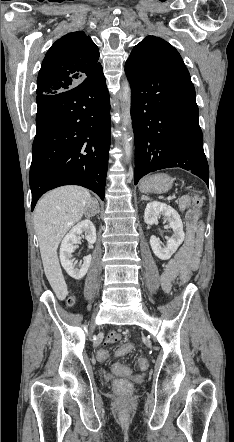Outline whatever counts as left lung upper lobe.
I'll use <instances>...</instances> for the list:
<instances>
[{"label":"left lung upper lobe","mask_w":234,"mask_h":442,"mask_svg":"<svg viewBox=\"0 0 234 442\" xmlns=\"http://www.w3.org/2000/svg\"><path fill=\"white\" fill-rule=\"evenodd\" d=\"M128 60L150 67H185L178 51L154 36H148L136 45Z\"/></svg>","instance_id":"1"}]
</instances>
